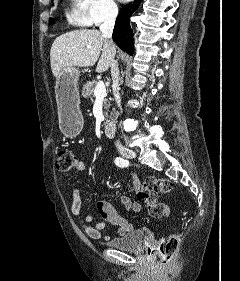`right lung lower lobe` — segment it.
I'll return each mask as SVG.
<instances>
[{
    "instance_id": "98d812e1",
    "label": "right lung lower lobe",
    "mask_w": 240,
    "mask_h": 281,
    "mask_svg": "<svg viewBox=\"0 0 240 281\" xmlns=\"http://www.w3.org/2000/svg\"><path fill=\"white\" fill-rule=\"evenodd\" d=\"M141 0H135L133 4L125 5L116 20L113 30V40L123 50L133 54V33L130 28V17L140 5Z\"/></svg>"
}]
</instances>
